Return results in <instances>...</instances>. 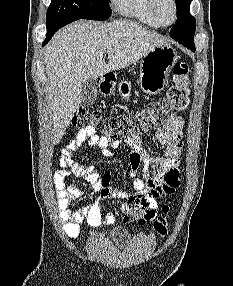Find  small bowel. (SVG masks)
Here are the masks:
<instances>
[{"mask_svg": "<svg viewBox=\"0 0 233 286\" xmlns=\"http://www.w3.org/2000/svg\"><path fill=\"white\" fill-rule=\"evenodd\" d=\"M183 125V118L174 115L163 127L156 130L155 137L164 147L162 155L158 156H153L144 149L140 135L124 139L123 142L130 148V175L134 177L133 188L135 190L133 194L112 188L109 173L100 175L93 166L82 165L74 159V153L84 144L99 148L102 155L106 157L111 155V149H116L121 145V141L99 136L94 126L81 129L63 149L60 169L53 176L59 219L66 235L71 240H77L81 233L80 223L84 219L91 227L113 224L116 220L115 214L107 212L102 216L101 212V202L108 199L125 200L120 211L123 214V220L127 222L132 220L129 205L131 198L147 195L151 198V205L146 208V214L139 222L145 223L152 220L156 214V201L173 194L180 185L179 165ZM140 167L146 170L143 179L136 177ZM150 169L156 170V173L149 174ZM70 174L84 177L92 189L99 194L92 202L76 210H70L69 207L73 201L82 198L84 194L75 184L66 183Z\"/></svg>", "mask_w": 233, "mask_h": 286, "instance_id": "c3829d8e", "label": "small bowel"}]
</instances>
